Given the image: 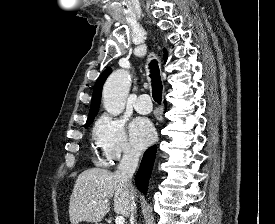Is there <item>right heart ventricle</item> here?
Returning a JSON list of instances; mask_svg holds the SVG:
<instances>
[{"label": "right heart ventricle", "instance_id": "right-heart-ventricle-1", "mask_svg": "<svg viewBox=\"0 0 275 224\" xmlns=\"http://www.w3.org/2000/svg\"><path fill=\"white\" fill-rule=\"evenodd\" d=\"M103 161H104V159H103V158L99 159V162H101V163H102Z\"/></svg>", "mask_w": 275, "mask_h": 224}]
</instances>
